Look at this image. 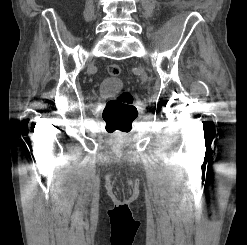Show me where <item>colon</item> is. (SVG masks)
Returning <instances> with one entry per match:
<instances>
[{
  "mask_svg": "<svg viewBox=\"0 0 247 245\" xmlns=\"http://www.w3.org/2000/svg\"><path fill=\"white\" fill-rule=\"evenodd\" d=\"M120 72L119 65H109L108 73L111 76H118ZM102 117L110 131L128 132L137 117L133 95L129 91H124L116 98L109 100L103 109Z\"/></svg>",
  "mask_w": 247,
  "mask_h": 245,
  "instance_id": "colon-1",
  "label": "colon"
}]
</instances>
